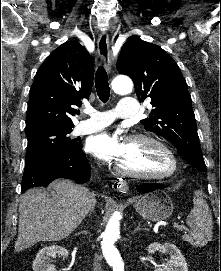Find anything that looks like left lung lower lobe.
I'll list each match as a JSON object with an SVG mask.
<instances>
[{
    "mask_svg": "<svg viewBox=\"0 0 221 271\" xmlns=\"http://www.w3.org/2000/svg\"><path fill=\"white\" fill-rule=\"evenodd\" d=\"M188 165V164H187ZM190 168H193L192 166L188 165ZM137 191L140 192L141 194H144L146 192L149 191H153L155 189H162L165 188V185H161V184H156V183H147L144 184L143 187L140 186H136Z\"/></svg>",
    "mask_w": 221,
    "mask_h": 271,
    "instance_id": "0a47b994",
    "label": "left lung lower lobe"
}]
</instances>
